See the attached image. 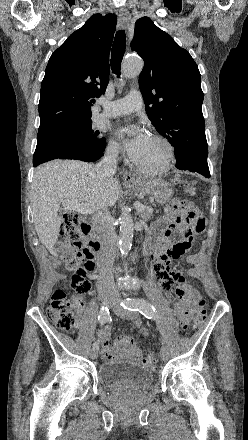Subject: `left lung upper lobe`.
Instances as JSON below:
<instances>
[{"label": "left lung upper lobe", "instance_id": "left-lung-upper-lobe-1", "mask_svg": "<svg viewBox=\"0 0 248 440\" xmlns=\"http://www.w3.org/2000/svg\"><path fill=\"white\" fill-rule=\"evenodd\" d=\"M131 49L144 60L139 86L156 130L169 140L177 159L207 156L201 76L189 52L148 17L136 21Z\"/></svg>", "mask_w": 248, "mask_h": 440}]
</instances>
